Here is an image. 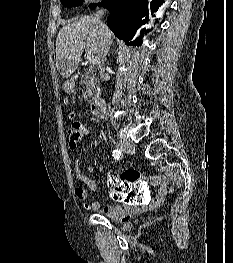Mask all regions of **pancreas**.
Listing matches in <instances>:
<instances>
[{
    "instance_id": "cf45deb5",
    "label": "pancreas",
    "mask_w": 233,
    "mask_h": 263,
    "mask_svg": "<svg viewBox=\"0 0 233 263\" xmlns=\"http://www.w3.org/2000/svg\"><path fill=\"white\" fill-rule=\"evenodd\" d=\"M94 72L95 70L90 68L86 74L81 77V83L85 89L84 94L90 98V102L95 100L99 95L98 80L95 78Z\"/></svg>"
}]
</instances>
